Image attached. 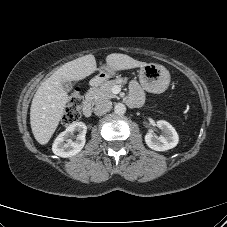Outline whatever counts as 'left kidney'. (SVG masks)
<instances>
[{
    "label": "left kidney",
    "instance_id": "obj_1",
    "mask_svg": "<svg viewBox=\"0 0 227 227\" xmlns=\"http://www.w3.org/2000/svg\"><path fill=\"white\" fill-rule=\"evenodd\" d=\"M157 127L162 130L163 135L155 137L152 132L145 135V142L149 148L155 151H166L174 148L179 141L174 127L164 120L157 121Z\"/></svg>",
    "mask_w": 227,
    "mask_h": 227
}]
</instances>
